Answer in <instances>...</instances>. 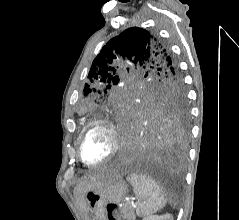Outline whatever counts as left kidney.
<instances>
[{
    "label": "left kidney",
    "instance_id": "obj_1",
    "mask_svg": "<svg viewBox=\"0 0 239 220\" xmlns=\"http://www.w3.org/2000/svg\"><path fill=\"white\" fill-rule=\"evenodd\" d=\"M143 220H173L172 215L165 214V215H149L144 217Z\"/></svg>",
    "mask_w": 239,
    "mask_h": 220
}]
</instances>
